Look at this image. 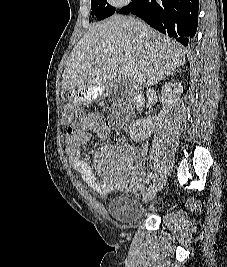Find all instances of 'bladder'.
Returning <instances> with one entry per match:
<instances>
[{
	"mask_svg": "<svg viewBox=\"0 0 227 267\" xmlns=\"http://www.w3.org/2000/svg\"><path fill=\"white\" fill-rule=\"evenodd\" d=\"M108 209L112 218L124 225L133 224L144 216V212L138 208L134 198L123 194L112 196Z\"/></svg>",
	"mask_w": 227,
	"mask_h": 267,
	"instance_id": "obj_1",
	"label": "bladder"
}]
</instances>
